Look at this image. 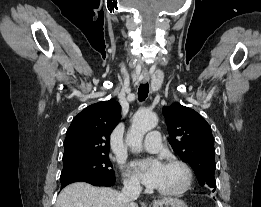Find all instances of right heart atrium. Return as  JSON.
<instances>
[{
  "label": "right heart atrium",
  "instance_id": "obj_1",
  "mask_svg": "<svg viewBox=\"0 0 261 207\" xmlns=\"http://www.w3.org/2000/svg\"><path fill=\"white\" fill-rule=\"evenodd\" d=\"M124 185L126 188L131 190H136L140 188L138 180L134 176H131L126 172L124 173Z\"/></svg>",
  "mask_w": 261,
  "mask_h": 207
}]
</instances>
